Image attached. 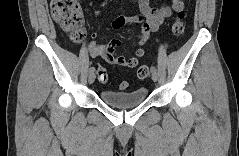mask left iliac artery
Wrapping results in <instances>:
<instances>
[{"mask_svg":"<svg viewBox=\"0 0 239 156\" xmlns=\"http://www.w3.org/2000/svg\"><path fill=\"white\" fill-rule=\"evenodd\" d=\"M152 71H156V67L155 66H151V72Z\"/></svg>","mask_w":239,"mask_h":156,"instance_id":"44dca946","label":"left iliac artery"}]
</instances>
